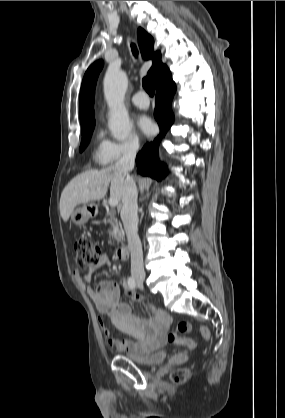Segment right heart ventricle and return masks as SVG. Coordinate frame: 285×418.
<instances>
[{
	"label": "right heart ventricle",
	"instance_id": "e07e8e85",
	"mask_svg": "<svg viewBox=\"0 0 285 418\" xmlns=\"http://www.w3.org/2000/svg\"><path fill=\"white\" fill-rule=\"evenodd\" d=\"M109 141L106 140L101 131H97L94 137L93 159L99 164H104L105 150Z\"/></svg>",
	"mask_w": 285,
	"mask_h": 418
}]
</instances>
